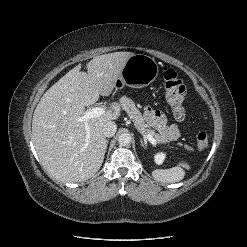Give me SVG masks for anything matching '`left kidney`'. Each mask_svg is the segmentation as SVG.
Here are the masks:
<instances>
[{
  "label": "left kidney",
  "mask_w": 247,
  "mask_h": 247,
  "mask_svg": "<svg viewBox=\"0 0 247 247\" xmlns=\"http://www.w3.org/2000/svg\"><path fill=\"white\" fill-rule=\"evenodd\" d=\"M165 157H166V154H164L163 152L157 153L154 156V161L156 164L161 165L164 162Z\"/></svg>",
  "instance_id": "1"
}]
</instances>
